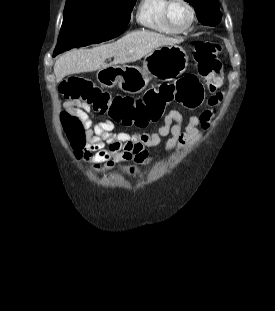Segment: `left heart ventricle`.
<instances>
[{
  "label": "left heart ventricle",
  "instance_id": "obj_1",
  "mask_svg": "<svg viewBox=\"0 0 275 311\" xmlns=\"http://www.w3.org/2000/svg\"><path fill=\"white\" fill-rule=\"evenodd\" d=\"M169 16L172 23L178 28L187 26L190 21V11L188 7L180 0H177L172 4L169 11Z\"/></svg>",
  "mask_w": 275,
  "mask_h": 311
}]
</instances>
